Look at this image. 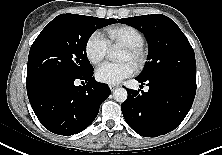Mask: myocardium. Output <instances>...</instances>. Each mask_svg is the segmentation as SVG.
<instances>
[{"instance_id": "1", "label": "myocardium", "mask_w": 222, "mask_h": 155, "mask_svg": "<svg viewBox=\"0 0 222 155\" xmlns=\"http://www.w3.org/2000/svg\"><path fill=\"white\" fill-rule=\"evenodd\" d=\"M124 50L132 57L136 69L140 70L145 66L148 55L143 46H126Z\"/></svg>"}]
</instances>
